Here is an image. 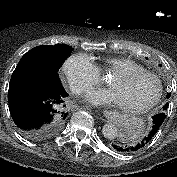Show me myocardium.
Listing matches in <instances>:
<instances>
[{
    "mask_svg": "<svg viewBox=\"0 0 177 177\" xmlns=\"http://www.w3.org/2000/svg\"><path fill=\"white\" fill-rule=\"evenodd\" d=\"M114 76L120 79H130V78H137V77H149L156 83V90L153 96L143 104L136 105V106H125L120 105V108L124 111L140 113L144 112L151 107H153L160 99L163 91V85L160 78L147 70H132V71H125V72H118L115 73Z\"/></svg>",
    "mask_w": 177,
    "mask_h": 177,
    "instance_id": "obj_1",
    "label": "myocardium"
}]
</instances>
